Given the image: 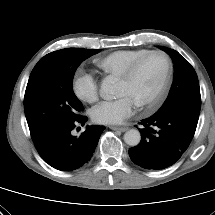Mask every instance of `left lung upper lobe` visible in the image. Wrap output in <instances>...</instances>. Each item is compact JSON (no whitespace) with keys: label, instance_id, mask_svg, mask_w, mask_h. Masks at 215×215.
Returning <instances> with one entry per match:
<instances>
[{"label":"left lung upper lobe","instance_id":"5c2ea615","mask_svg":"<svg viewBox=\"0 0 215 215\" xmlns=\"http://www.w3.org/2000/svg\"><path fill=\"white\" fill-rule=\"evenodd\" d=\"M159 48L171 56L175 66V76L166 101L156 113L177 111L198 120L201 95L195 70L177 51L162 46Z\"/></svg>","mask_w":215,"mask_h":215}]
</instances>
